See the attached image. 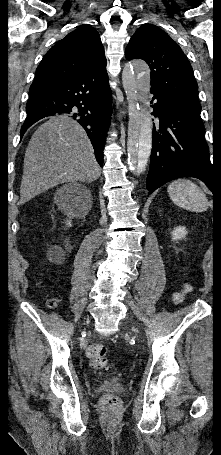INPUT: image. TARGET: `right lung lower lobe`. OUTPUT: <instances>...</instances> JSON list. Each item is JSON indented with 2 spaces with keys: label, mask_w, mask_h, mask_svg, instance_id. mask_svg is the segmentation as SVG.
<instances>
[{
  "label": "right lung lower lobe",
  "mask_w": 221,
  "mask_h": 455,
  "mask_svg": "<svg viewBox=\"0 0 221 455\" xmlns=\"http://www.w3.org/2000/svg\"><path fill=\"white\" fill-rule=\"evenodd\" d=\"M111 90L106 64H99L66 77L30 96L21 137L38 120L52 115L75 119L86 130L97 162L103 164V149L111 118Z\"/></svg>",
  "instance_id": "obj_1"
}]
</instances>
